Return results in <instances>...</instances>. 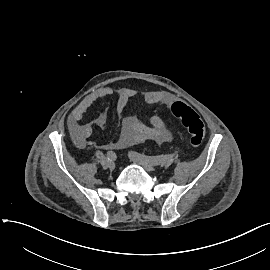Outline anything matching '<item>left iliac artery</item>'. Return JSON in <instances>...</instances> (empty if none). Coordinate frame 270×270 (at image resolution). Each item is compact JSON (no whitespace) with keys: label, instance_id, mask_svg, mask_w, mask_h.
I'll list each match as a JSON object with an SVG mask.
<instances>
[{"label":"left iliac artery","instance_id":"1","mask_svg":"<svg viewBox=\"0 0 270 270\" xmlns=\"http://www.w3.org/2000/svg\"><path fill=\"white\" fill-rule=\"evenodd\" d=\"M130 153H132L137 158L147 160L148 162L152 163L153 165H159L164 161L163 156H145V155L139 154L137 152H130Z\"/></svg>","mask_w":270,"mask_h":270}]
</instances>
